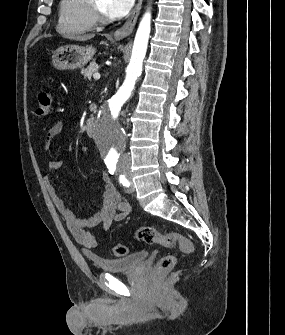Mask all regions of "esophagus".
I'll return each instance as SVG.
<instances>
[{"label": "esophagus", "instance_id": "1", "mask_svg": "<svg viewBox=\"0 0 285 335\" xmlns=\"http://www.w3.org/2000/svg\"><path fill=\"white\" fill-rule=\"evenodd\" d=\"M142 2L143 0H138L136 7L134 8L131 17H129L126 22L124 23V25H122V27L118 28V30H116L114 32V37L116 39H121L124 37H127L128 35H130V33L133 32L134 26L136 24L137 18L139 16V12L141 10L142 7Z\"/></svg>", "mask_w": 285, "mask_h": 335}]
</instances>
